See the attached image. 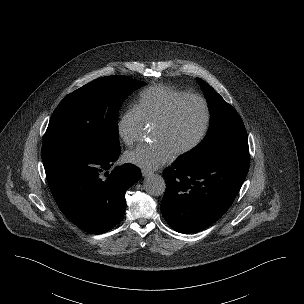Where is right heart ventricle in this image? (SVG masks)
<instances>
[{"mask_svg":"<svg viewBox=\"0 0 304 304\" xmlns=\"http://www.w3.org/2000/svg\"><path fill=\"white\" fill-rule=\"evenodd\" d=\"M186 94V92L168 85H153L139 94L135 106L145 124L155 125L170 105Z\"/></svg>","mask_w":304,"mask_h":304,"instance_id":"right-heart-ventricle-1","label":"right heart ventricle"}]
</instances>
